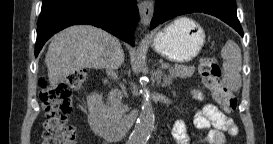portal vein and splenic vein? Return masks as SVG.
Segmentation results:
<instances>
[{
  "label": "portal vein and splenic vein",
  "mask_w": 273,
  "mask_h": 144,
  "mask_svg": "<svg viewBox=\"0 0 273 144\" xmlns=\"http://www.w3.org/2000/svg\"><path fill=\"white\" fill-rule=\"evenodd\" d=\"M161 68H162V69H167V68H169V65L166 64V63H163V64L161 65Z\"/></svg>",
  "instance_id": "obj_1"
}]
</instances>
